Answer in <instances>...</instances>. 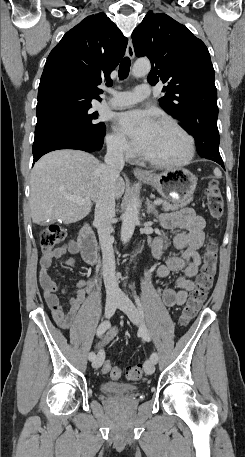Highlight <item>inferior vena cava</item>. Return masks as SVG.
<instances>
[{
	"label": "inferior vena cava",
	"instance_id": "602c4592",
	"mask_svg": "<svg viewBox=\"0 0 245 457\" xmlns=\"http://www.w3.org/2000/svg\"><path fill=\"white\" fill-rule=\"evenodd\" d=\"M126 146L124 138L109 144L105 162L99 166L100 192L95 206L94 224L97 226L99 243L103 255V279L107 295H118L120 289L116 279L115 257L111 235V218L115 216L114 184L123 166V150Z\"/></svg>",
	"mask_w": 245,
	"mask_h": 457
}]
</instances>
